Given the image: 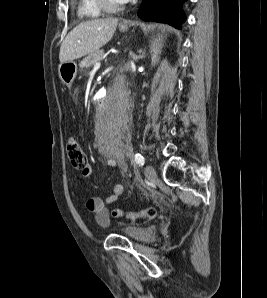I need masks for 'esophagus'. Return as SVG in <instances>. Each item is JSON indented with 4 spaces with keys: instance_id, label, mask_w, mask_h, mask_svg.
Listing matches in <instances>:
<instances>
[{
    "instance_id": "esophagus-1",
    "label": "esophagus",
    "mask_w": 267,
    "mask_h": 298,
    "mask_svg": "<svg viewBox=\"0 0 267 298\" xmlns=\"http://www.w3.org/2000/svg\"><path fill=\"white\" fill-rule=\"evenodd\" d=\"M122 25H127V23L125 21L121 22Z\"/></svg>"
}]
</instances>
